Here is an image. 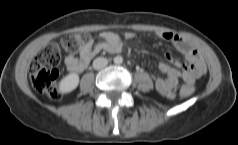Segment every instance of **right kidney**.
<instances>
[{
    "label": "right kidney",
    "instance_id": "1",
    "mask_svg": "<svg viewBox=\"0 0 238 145\" xmlns=\"http://www.w3.org/2000/svg\"><path fill=\"white\" fill-rule=\"evenodd\" d=\"M79 75L76 73H70L62 78L59 82V91L61 93H70L77 88L79 84Z\"/></svg>",
    "mask_w": 238,
    "mask_h": 145
}]
</instances>
